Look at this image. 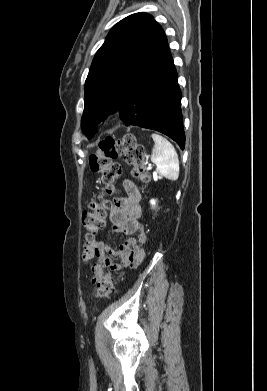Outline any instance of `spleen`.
I'll return each instance as SVG.
<instances>
[{
  "mask_svg": "<svg viewBox=\"0 0 267 391\" xmlns=\"http://www.w3.org/2000/svg\"><path fill=\"white\" fill-rule=\"evenodd\" d=\"M155 145L152 149L151 161L156 171L165 178L176 181L179 176V160L173 145L159 134L153 133Z\"/></svg>",
  "mask_w": 267,
  "mask_h": 391,
  "instance_id": "3e777b00",
  "label": "spleen"
}]
</instances>
